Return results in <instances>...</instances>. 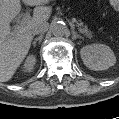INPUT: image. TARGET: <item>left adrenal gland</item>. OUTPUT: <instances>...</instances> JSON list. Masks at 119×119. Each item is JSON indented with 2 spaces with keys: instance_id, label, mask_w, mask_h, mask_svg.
<instances>
[{
  "instance_id": "obj_1",
  "label": "left adrenal gland",
  "mask_w": 119,
  "mask_h": 119,
  "mask_svg": "<svg viewBox=\"0 0 119 119\" xmlns=\"http://www.w3.org/2000/svg\"><path fill=\"white\" fill-rule=\"evenodd\" d=\"M72 34H73V39H77V38L83 39V37L78 35L75 31H73Z\"/></svg>"
}]
</instances>
